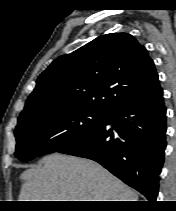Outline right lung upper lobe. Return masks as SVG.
I'll return each mask as SVG.
<instances>
[{
    "label": "right lung upper lobe",
    "instance_id": "1",
    "mask_svg": "<svg viewBox=\"0 0 176 211\" xmlns=\"http://www.w3.org/2000/svg\"><path fill=\"white\" fill-rule=\"evenodd\" d=\"M158 87V74L145 47L130 34H106L55 59L38 77L19 118L75 107L107 113Z\"/></svg>",
    "mask_w": 176,
    "mask_h": 211
}]
</instances>
